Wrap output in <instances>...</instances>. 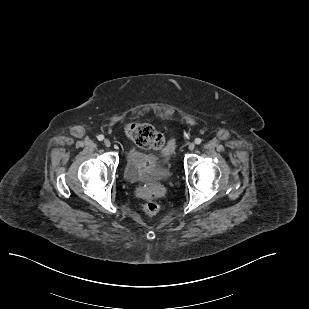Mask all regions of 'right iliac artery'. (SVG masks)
<instances>
[{
	"instance_id": "1",
	"label": "right iliac artery",
	"mask_w": 309,
	"mask_h": 309,
	"mask_svg": "<svg viewBox=\"0 0 309 309\" xmlns=\"http://www.w3.org/2000/svg\"><path fill=\"white\" fill-rule=\"evenodd\" d=\"M97 139H98L99 141H102V140L104 139V136H103V135H98Z\"/></svg>"
}]
</instances>
